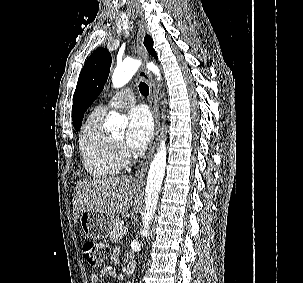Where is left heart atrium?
<instances>
[{
  "instance_id": "39dd6f15",
  "label": "left heart atrium",
  "mask_w": 303,
  "mask_h": 283,
  "mask_svg": "<svg viewBox=\"0 0 303 283\" xmlns=\"http://www.w3.org/2000/svg\"><path fill=\"white\" fill-rule=\"evenodd\" d=\"M127 118L126 145L131 150H140L152 136L153 123L150 113L143 106H135L128 112Z\"/></svg>"
}]
</instances>
